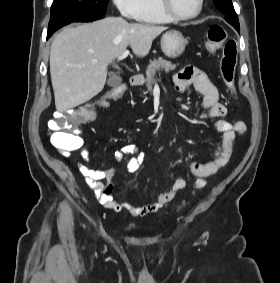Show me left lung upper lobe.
Instances as JSON below:
<instances>
[{
	"label": "left lung upper lobe",
	"mask_w": 280,
	"mask_h": 283,
	"mask_svg": "<svg viewBox=\"0 0 280 283\" xmlns=\"http://www.w3.org/2000/svg\"><path fill=\"white\" fill-rule=\"evenodd\" d=\"M214 4L222 13L226 15L225 19L228 23L234 27H240L238 16L234 10L231 0H214Z\"/></svg>",
	"instance_id": "1"
}]
</instances>
